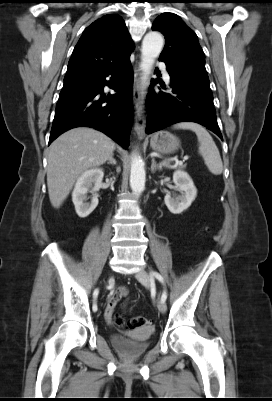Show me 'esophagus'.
<instances>
[{
	"label": "esophagus",
	"instance_id": "34e87169",
	"mask_svg": "<svg viewBox=\"0 0 272 401\" xmlns=\"http://www.w3.org/2000/svg\"><path fill=\"white\" fill-rule=\"evenodd\" d=\"M141 79L142 74L138 64L134 67V107H135V131L139 138L144 137L145 131V113L143 109V103L141 101Z\"/></svg>",
	"mask_w": 272,
	"mask_h": 401
}]
</instances>
